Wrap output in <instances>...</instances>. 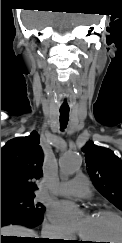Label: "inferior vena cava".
I'll return each mask as SVG.
<instances>
[{
    "mask_svg": "<svg viewBox=\"0 0 122 243\" xmlns=\"http://www.w3.org/2000/svg\"><path fill=\"white\" fill-rule=\"evenodd\" d=\"M41 237L42 238H48V239H56L57 234L55 233V231H53L49 227L44 226L42 228Z\"/></svg>",
    "mask_w": 122,
    "mask_h": 243,
    "instance_id": "inferior-vena-cava-1",
    "label": "inferior vena cava"
}]
</instances>
